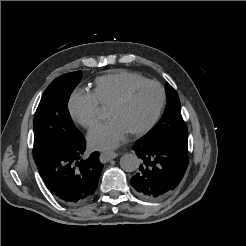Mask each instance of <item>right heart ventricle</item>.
Wrapping results in <instances>:
<instances>
[{"mask_svg":"<svg viewBox=\"0 0 246 246\" xmlns=\"http://www.w3.org/2000/svg\"><path fill=\"white\" fill-rule=\"evenodd\" d=\"M144 79L137 73L115 71L96 78L91 93L100 106L108 108L128 86Z\"/></svg>","mask_w":246,"mask_h":246,"instance_id":"obj_1","label":"right heart ventricle"}]
</instances>
